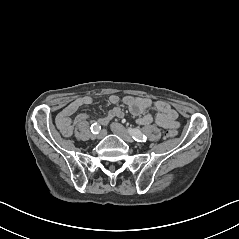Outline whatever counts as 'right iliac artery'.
<instances>
[{
    "label": "right iliac artery",
    "mask_w": 239,
    "mask_h": 239,
    "mask_svg": "<svg viewBox=\"0 0 239 239\" xmlns=\"http://www.w3.org/2000/svg\"><path fill=\"white\" fill-rule=\"evenodd\" d=\"M100 130H101V126L98 123H93L91 125V131L93 134H99Z\"/></svg>",
    "instance_id": "obj_1"
}]
</instances>
